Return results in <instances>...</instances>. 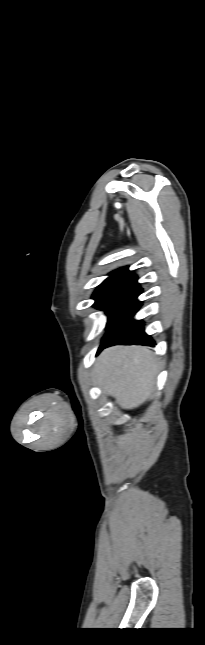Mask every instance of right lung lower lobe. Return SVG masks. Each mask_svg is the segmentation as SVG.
<instances>
[{
    "instance_id": "1",
    "label": "right lung lower lobe",
    "mask_w": 205,
    "mask_h": 645,
    "mask_svg": "<svg viewBox=\"0 0 205 645\" xmlns=\"http://www.w3.org/2000/svg\"><path fill=\"white\" fill-rule=\"evenodd\" d=\"M117 344L154 345L155 342L144 332L142 321L131 320L128 324H126L123 328L116 332L111 338H109L103 345H101L99 351L103 348Z\"/></svg>"
}]
</instances>
